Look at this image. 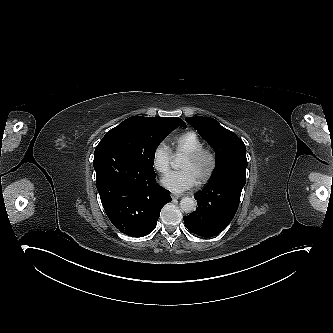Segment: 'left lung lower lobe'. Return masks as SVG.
<instances>
[{
    "instance_id": "left-lung-lower-lobe-1",
    "label": "left lung lower lobe",
    "mask_w": 333,
    "mask_h": 333,
    "mask_svg": "<svg viewBox=\"0 0 333 333\" xmlns=\"http://www.w3.org/2000/svg\"><path fill=\"white\" fill-rule=\"evenodd\" d=\"M245 182V176L230 183L222 178L209 180L207 186L194 195L196 211L183 217L186 228L202 237L218 235L235 216Z\"/></svg>"
}]
</instances>
